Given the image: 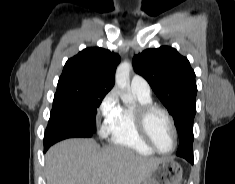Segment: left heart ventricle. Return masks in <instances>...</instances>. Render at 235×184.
Segmentation results:
<instances>
[{
  "label": "left heart ventricle",
  "instance_id": "left-heart-ventricle-1",
  "mask_svg": "<svg viewBox=\"0 0 235 184\" xmlns=\"http://www.w3.org/2000/svg\"><path fill=\"white\" fill-rule=\"evenodd\" d=\"M149 127L155 145L164 153H170L174 147V135L165 115L155 111L149 119Z\"/></svg>",
  "mask_w": 235,
  "mask_h": 184
}]
</instances>
